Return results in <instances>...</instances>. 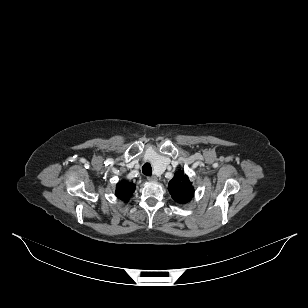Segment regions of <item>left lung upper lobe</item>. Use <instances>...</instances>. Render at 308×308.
Wrapping results in <instances>:
<instances>
[{"instance_id": "left-lung-upper-lobe-1", "label": "left lung upper lobe", "mask_w": 308, "mask_h": 308, "mask_svg": "<svg viewBox=\"0 0 308 308\" xmlns=\"http://www.w3.org/2000/svg\"><path fill=\"white\" fill-rule=\"evenodd\" d=\"M168 189L173 199L181 204L190 201L194 195L192 183L183 171L174 174V178L169 182Z\"/></svg>"}]
</instances>
